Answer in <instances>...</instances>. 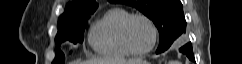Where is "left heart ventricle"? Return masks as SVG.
<instances>
[{
    "label": "left heart ventricle",
    "mask_w": 242,
    "mask_h": 64,
    "mask_svg": "<svg viewBox=\"0 0 242 64\" xmlns=\"http://www.w3.org/2000/svg\"><path fill=\"white\" fill-rule=\"evenodd\" d=\"M128 39L131 46L138 51L148 49L153 41V34L149 24L141 19H134L128 29Z\"/></svg>",
    "instance_id": "b2bd125f"
}]
</instances>
